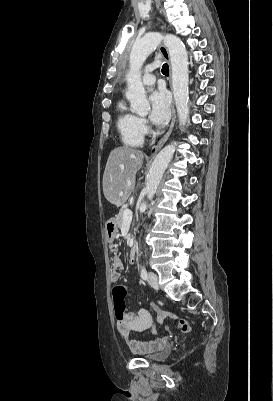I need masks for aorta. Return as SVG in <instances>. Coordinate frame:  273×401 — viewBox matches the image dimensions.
I'll use <instances>...</instances> for the list:
<instances>
[{"mask_svg": "<svg viewBox=\"0 0 273 401\" xmlns=\"http://www.w3.org/2000/svg\"><path fill=\"white\" fill-rule=\"evenodd\" d=\"M163 41L170 55L172 68V86L179 125L184 127L189 121V72L188 55L183 42L175 35L162 36L149 33L136 41L130 53V70L127 74L128 90L126 97L130 101L131 111L146 115L150 109L145 89L141 81V68L147 57ZM176 142L164 147L154 158L146 177L145 192L149 200L153 199L161 178L170 163L176 148Z\"/></svg>", "mask_w": 273, "mask_h": 401, "instance_id": "aorta-1", "label": "aorta"}]
</instances>
